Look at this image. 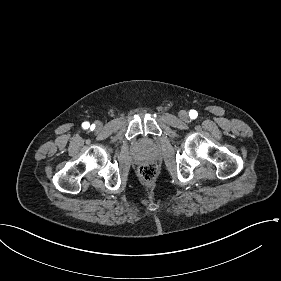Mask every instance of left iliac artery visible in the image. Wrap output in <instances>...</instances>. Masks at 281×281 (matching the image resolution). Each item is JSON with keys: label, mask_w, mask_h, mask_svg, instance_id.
<instances>
[{"label": "left iliac artery", "mask_w": 281, "mask_h": 281, "mask_svg": "<svg viewBox=\"0 0 281 281\" xmlns=\"http://www.w3.org/2000/svg\"><path fill=\"white\" fill-rule=\"evenodd\" d=\"M189 116L191 119H195L198 116V113L195 110H190Z\"/></svg>", "instance_id": "44dca946"}]
</instances>
